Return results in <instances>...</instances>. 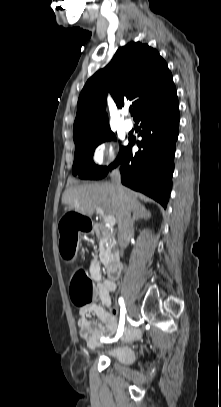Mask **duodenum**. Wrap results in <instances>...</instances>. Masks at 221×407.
<instances>
[{
  "instance_id": "410a0bca",
  "label": "duodenum",
  "mask_w": 221,
  "mask_h": 407,
  "mask_svg": "<svg viewBox=\"0 0 221 407\" xmlns=\"http://www.w3.org/2000/svg\"><path fill=\"white\" fill-rule=\"evenodd\" d=\"M122 263L120 261H113L109 264L107 268L108 277L111 280H117L122 272Z\"/></svg>"
}]
</instances>
